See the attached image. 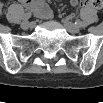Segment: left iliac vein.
<instances>
[{
    "label": "left iliac vein",
    "mask_w": 103,
    "mask_h": 103,
    "mask_svg": "<svg viewBox=\"0 0 103 103\" xmlns=\"http://www.w3.org/2000/svg\"><path fill=\"white\" fill-rule=\"evenodd\" d=\"M64 26L70 33H78L80 28L68 20H64Z\"/></svg>",
    "instance_id": "left-iliac-vein-1"
}]
</instances>
